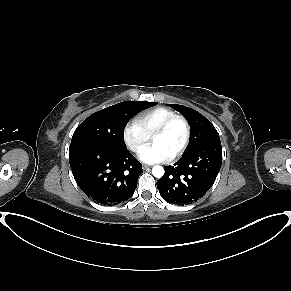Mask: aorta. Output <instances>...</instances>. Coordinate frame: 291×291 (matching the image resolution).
Instances as JSON below:
<instances>
[{
  "mask_svg": "<svg viewBox=\"0 0 291 291\" xmlns=\"http://www.w3.org/2000/svg\"><path fill=\"white\" fill-rule=\"evenodd\" d=\"M152 174L156 178H161L164 175V168L162 166H154L152 168Z\"/></svg>",
  "mask_w": 291,
  "mask_h": 291,
  "instance_id": "aorta-1",
  "label": "aorta"
}]
</instances>
